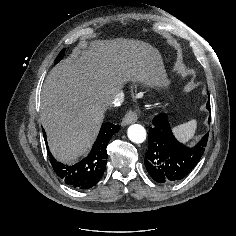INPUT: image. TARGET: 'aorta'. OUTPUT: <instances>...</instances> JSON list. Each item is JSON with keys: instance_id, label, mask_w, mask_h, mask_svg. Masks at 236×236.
I'll use <instances>...</instances> for the list:
<instances>
[{"instance_id": "762f6f07", "label": "aorta", "mask_w": 236, "mask_h": 236, "mask_svg": "<svg viewBox=\"0 0 236 236\" xmlns=\"http://www.w3.org/2000/svg\"><path fill=\"white\" fill-rule=\"evenodd\" d=\"M146 129L140 124H132L128 127L127 136L134 143H143L146 140Z\"/></svg>"}]
</instances>
